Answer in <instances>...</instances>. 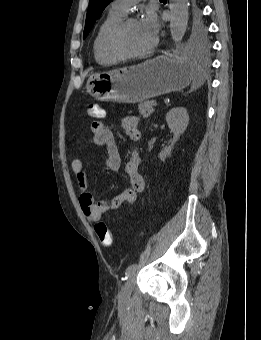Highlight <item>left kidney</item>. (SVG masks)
<instances>
[{"label":"left kidney","instance_id":"5707ae66","mask_svg":"<svg viewBox=\"0 0 261 340\" xmlns=\"http://www.w3.org/2000/svg\"><path fill=\"white\" fill-rule=\"evenodd\" d=\"M166 121L168 127L174 133V137L171 141V145L159 153L158 157L161 161H165V159L171 155L175 143L187 128L189 123V115L184 107L173 108L167 113Z\"/></svg>","mask_w":261,"mask_h":340}]
</instances>
